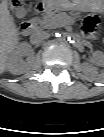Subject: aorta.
I'll return each instance as SVG.
<instances>
[{
	"label": "aorta",
	"instance_id": "762f6f07",
	"mask_svg": "<svg viewBox=\"0 0 104 137\" xmlns=\"http://www.w3.org/2000/svg\"><path fill=\"white\" fill-rule=\"evenodd\" d=\"M59 41H60V43H62V44L67 43V42H70V41H71V37L68 36L67 34H62V35L59 37Z\"/></svg>",
	"mask_w": 104,
	"mask_h": 137
}]
</instances>
